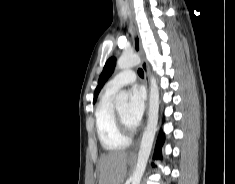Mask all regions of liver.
I'll return each mask as SVG.
<instances>
[{
    "mask_svg": "<svg viewBox=\"0 0 235 184\" xmlns=\"http://www.w3.org/2000/svg\"><path fill=\"white\" fill-rule=\"evenodd\" d=\"M127 152L101 154L99 184H121L127 172Z\"/></svg>",
    "mask_w": 235,
    "mask_h": 184,
    "instance_id": "1",
    "label": "liver"
}]
</instances>
